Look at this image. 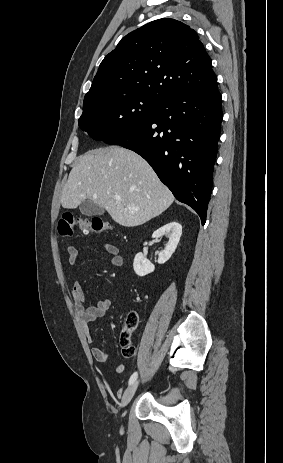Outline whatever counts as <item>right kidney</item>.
Here are the masks:
<instances>
[{"mask_svg": "<svg viewBox=\"0 0 283 463\" xmlns=\"http://www.w3.org/2000/svg\"><path fill=\"white\" fill-rule=\"evenodd\" d=\"M182 234V226L178 222H170L159 228L152 234V238H160L166 235L169 238L168 243L163 251L158 254V263L164 264L174 253ZM147 243L145 242L144 245ZM133 268L138 276H145L154 271L155 266L147 260L142 252L136 254L133 262Z\"/></svg>", "mask_w": 283, "mask_h": 463, "instance_id": "ca27d5eb", "label": "right kidney"}]
</instances>
